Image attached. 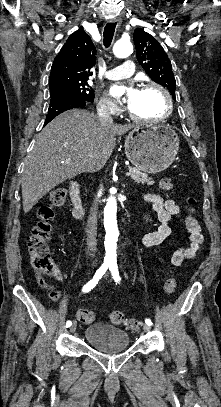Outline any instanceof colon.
<instances>
[{"instance_id":"5ec220e1","label":"colon","mask_w":221,"mask_h":407,"mask_svg":"<svg viewBox=\"0 0 221 407\" xmlns=\"http://www.w3.org/2000/svg\"><path fill=\"white\" fill-rule=\"evenodd\" d=\"M173 186V181L169 177H164L160 181V187L163 190H169ZM67 198V191L63 187L52 188L47 197V201L37 209L38 221L32 228L31 237L28 240V248L31 256V263L39 275L55 276L57 273L48 243L52 235V221L54 218L53 208L64 205ZM188 204H194V199L189 198ZM189 210L188 214H191ZM184 259L177 258V263ZM176 280L172 275H168L164 282V291L172 295L176 291ZM77 319L83 324L92 323L95 319L93 311L88 309H78L76 312ZM109 320L114 324L123 325L131 331H139L141 322L136 318H128L121 311L113 310L108 313Z\"/></svg>"}]
</instances>
